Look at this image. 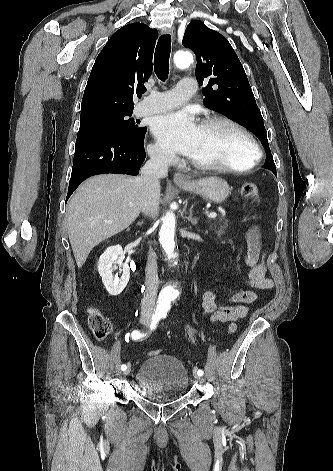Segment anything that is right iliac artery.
Listing matches in <instances>:
<instances>
[{
  "mask_svg": "<svg viewBox=\"0 0 333 471\" xmlns=\"http://www.w3.org/2000/svg\"><path fill=\"white\" fill-rule=\"evenodd\" d=\"M161 318V313L159 312H155L152 316V321H151V325H150V329L151 331L154 330L156 328V325L157 323L159 322ZM145 336V334L141 333L139 330H134L131 334V337L133 340H138L140 338H143ZM127 366L125 364H123L121 366V370H126Z\"/></svg>",
  "mask_w": 333,
  "mask_h": 471,
  "instance_id": "1",
  "label": "right iliac artery"
}]
</instances>
